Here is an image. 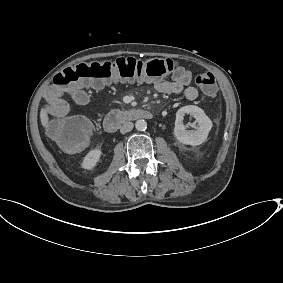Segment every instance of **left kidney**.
I'll return each instance as SVG.
<instances>
[{"label": "left kidney", "instance_id": "obj_1", "mask_svg": "<svg viewBox=\"0 0 283 283\" xmlns=\"http://www.w3.org/2000/svg\"><path fill=\"white\" fill-rule=\"evenodd\" d=\"M185 115H191L195 118V122L199 124V129L197 131L191 130L186 131L182 120ZM213 122L204 113V111L194 105L184 106L179 109L176 113V121L174 127V136L176 139L184 144L191 147H196L204 143L212 130Z\"/></svg>", "mask_w": 283, "mask_h": 283}]
</instances>
